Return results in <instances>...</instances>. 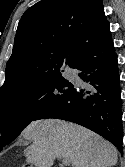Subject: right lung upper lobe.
I'll use <instances>...</instances> for the list:
<instances>
[{"label": "right lung upper lobe", "mask_w": 125, "mask_h": 167, "mask_svg": "<svg viewBox=\"0 0 125 167\" xmlns=\"http://www.w3.org/2000/svg\"><path fill=\"white\" fill-rule=\"evenodd\" d=\"M109 22L102 0H41L25 11L18 24L0 99L25 91L75 68L85 49Z\"/></svg>", "instance_id": "obj_1"}]
</instances>
